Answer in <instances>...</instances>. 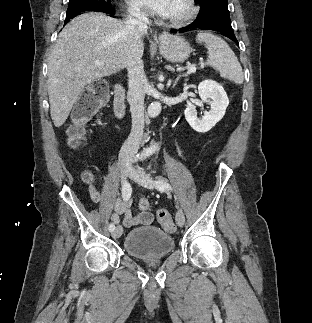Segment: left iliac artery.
Returning a JSON list of instances; mask_svg holds the SVG:
<instances>
[{
	"mask_svg": "<svg viewBox=\"0 0 312 323\" xmlns=\"http://www.w3.org/2000/svg\"><path fill=\"white\" fill-rule=\"evenodd\" d=\"M156 187L159 190H164V189L172 190L171 185L167 181H163V180L156 181Z\"/></svg>",
	"mask_w": 312,
	"mask_h": 323,
	"instance_id": "44dca946",
	"label": "left iliac artery"
}]
</instances>
